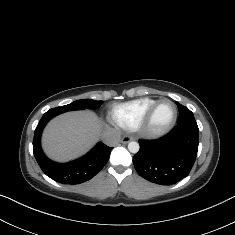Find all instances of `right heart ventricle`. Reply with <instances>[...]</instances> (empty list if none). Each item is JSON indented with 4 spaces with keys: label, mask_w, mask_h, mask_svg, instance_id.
Segmentation results:
<instances>
[{
    "label": "right heart ventricle",
    "mask_w": 235,
    "mask_h": 235,
    "mask_svg": "<svg viewBox=\"0 0 235 235\" xmlns=\"http://www.w3.org/2000/svg\"><path fill=\"white\" fill-rule=\"evenodd\" d=\"M153 97H143L111 107L109 115L113 122L125 130L133 131L146 116L152 104Z\"/></svg>",
    "instance_id": "right-heart-ventricle-1"
}]
</instances>
